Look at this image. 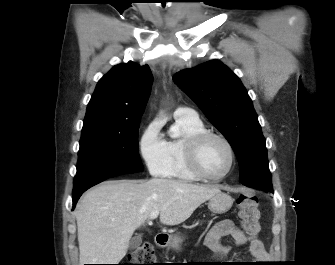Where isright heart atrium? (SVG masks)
<instances>
[{"label":"right heart atrium","instance_id":"d8ad5b80","mask_svg":"<svg viewBox=\"0 0 335 265\" xmlns=\"http://www.w3.org/2000/svg\"><path fill=\"white\" fill-rule=\"evenodd\" d=\"M139 151L149 172L154 176H163L168 166V149L157 121L150 122L144 129Z\"/></svg>","mask_w":335,"mask_h":265}]
</instances>
